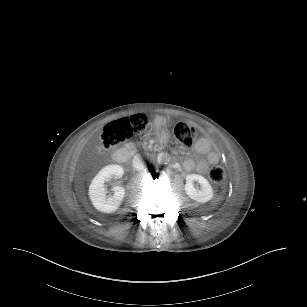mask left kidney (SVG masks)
I'll return each mask as SVG.
<instances>
[{
    "label": "left kidney",
    "instance_id": "obj_1",
    "mask_svg": "<svg viewBox=\"0 0 307 307\" xmlns=\"http://www.w3.org/2000/svg\"><path fill=\"white\" fill-rule=\"evenodd\" d=\"M194 181H197L201 185L200 189H196L194 187ZM184 191L190 199L199 203H206L214 196V191L211 184L205 177L198 174H190L186 177Z\"/></svg>",
    "mask_w": 307,
    "mask_h": 307
}]
</instances>
